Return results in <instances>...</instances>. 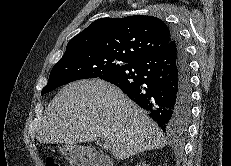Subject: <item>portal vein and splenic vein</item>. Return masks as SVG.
<instances>
[{
	"label": "portal vein and splenic vein",
	"instance_id": "portal-vein-and-splenic-vein-1",
	"mask_svg": "<svg viewBox=\"0 0 231 166\" xmlns=\"http://www.w3.org/2000/svg\"><path fill=\"white\" fill-rule=\"evenodd\" d=\"M99 141L103 142V147L105 149H109L110 148V141H109V139H107V138H101V139H99Z\"/></svg>",
	"mask_w": 231,
	"mask_h": 166
}]
</instances>
